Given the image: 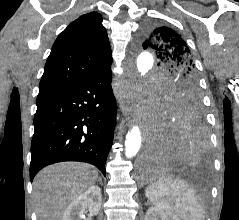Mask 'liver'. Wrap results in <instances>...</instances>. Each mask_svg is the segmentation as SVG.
<instances>
[{"mask_svg": "<svg viewBox=\"0 0 239 220\" xmlns=\"http://www.w3.org/2000/svg\"><path fill=\"white\" fill-rule=\"evenodd\" d=\"M98 179L88 164L62 162L42 169L33 182L38 220H62L68 205Z\"/></svg>", "mask_w": 239, "mask_h": 220, "instance_id": "6515ba94", "label": "liver"}]
</instances>
